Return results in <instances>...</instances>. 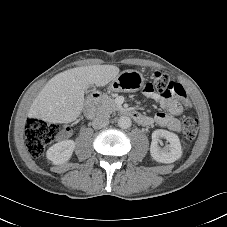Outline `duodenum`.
Segmentation results:
<instances>
[{"instance_id": "obj_1", "label": "duodenum", "mask_w": 227, "mask_h": 227, "mask_svg": "<svg viewBox=\"0 0 227 227\" xmlns=\"http://www.w3.org/2000/svg\"><path fill=\"white\" fill-rule=\"evenodd\" d=\"M100 96H101V94L96 92V93L90 95L88 97V99L86 100L85 115L87 118L91 119L94 117L95 106H96V103H97L98 99L100 98ZM120 114L123 116H128V117L132 118L134 121H136L139 124H143L146 120V118L143 114H141L140 112L135 111V110L122 109L120 111Z\"/></svg>"}]
</instances>
